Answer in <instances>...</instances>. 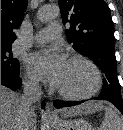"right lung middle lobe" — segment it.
<instances>
[{
	"instance_id": "dd1d6c3e",
	"label": "right lung middle lobe",
	"mask_w": 123,
	"mask_h": 130,
	"mask_svg": "<svg viewBox=\"0 0 123 130\" xmlns=\"http://www.w3.org/2000/svg\"><path fill=\"white\" fill-rule=\"evenodd\" d=\"M1 70L19 74V61L13 58L11 45H1Z\"/></svg>"
}]
</instances>
